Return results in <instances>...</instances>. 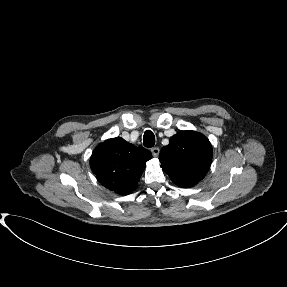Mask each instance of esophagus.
Returning a JSON list of instances; mask_svg holds the SVG:
<instances>
[{
	"label": "esophagus",
	"instance_id": "esophagus-1",
	"mask_svg": "<svg viewBox=\"0 0 287 287\" xmlns=\"http://www.w3.org/2000/svg\"><path fill=\"white\" fill-rule=\"evenodd\" d=\"M151 152L154 157H157L159 155L160 149L158 147H154L151 149Z\"/></svg>",
	"mask_w": 287,
	"mask_h": 287
}]
</instances>
